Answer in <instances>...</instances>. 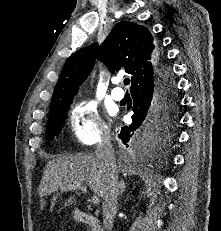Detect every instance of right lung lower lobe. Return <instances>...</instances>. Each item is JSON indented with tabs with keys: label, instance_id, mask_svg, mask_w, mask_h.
I'll return each instance as SVG.
<instances>
[{
	"label": "right lung lower lobe",
	"instance_id": "right-lung-lower-lobe-1",
	"mask_svg": "<svg viewBox=\"0 0 221 231\" xmlns=\"http://www.w3.org/2000/svg\"><path fill=\"white\" fill-rule=\"evenodd\" d=\"M133 104L132 124L121 129L119 137L128 147L129 140L135 141L139 152L151 155L156 150V144H151L143 134L141 128L153 107L163 97L177 99V90L172 75L171 67L165 56L160 53L157 62V76L153 83L138 87L131 91Z\"/></svg>",
	"mask_w": 221,
	"mask_h": 231
}]
</instances>
